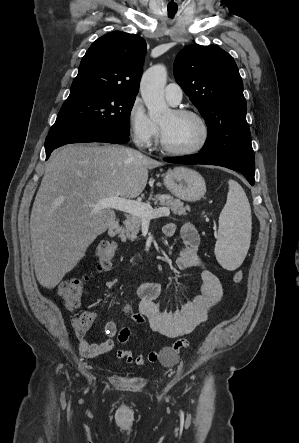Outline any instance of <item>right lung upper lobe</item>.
<instances>
[{"label": "right lung upper lobe", "instance_id": "cb5924a9", "mask_svg": "<svg viewBox=\"0 0 299 443\" xmlns=\"http://www.w3.org/2000/svg\"><path fill=\"white\" fill-rule=\"evenodd\" d=\"M145 53L146 42L139 35L110 32L87 50L71 89L94 88L136 96Z\"/></svg>", "mask_w": 299, "mask_h": 443}]
</instances>
